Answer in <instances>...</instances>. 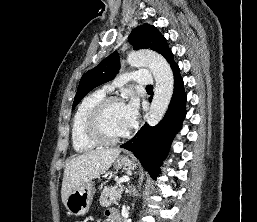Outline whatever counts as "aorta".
Returning <instances> with one entry per match:
<instances>
[{"instance_id": "aorta-1", "label": "aorta", "mask_w": 257, "mask_h": 222, "mask_svg": "<svg viewBox=\"0 0 257 222\" xmlns=\"http://www.w3.org/2000/svg\"><path fill=\"white\" fill-rule=\"evenodd\" d=\"M127 62L132 67H148L155 78L154 97L147 117L148 124L155 126L164 116L173 95L174 78L170 65L161 55L147 50L129 53Z\"/></svg>"}]
</instances>
